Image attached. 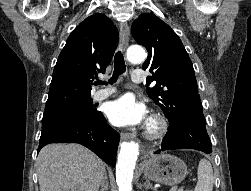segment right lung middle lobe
<instances>
[{
    "label": "right lung middle lobe",
    "mask_w": 251,
    "mask_h": 191,
    "mask_svg": "<svg viewBox=\"0 0 251 191\" xmlns=\"http://www.w3.org/2000/svg\"><path fill=\"white\" fill-rule=\"evenodd\" d=\"M92 98L45 108L42 118V128L50 124L69 119L85 118L94 120L101 116V112L94 109Z\"/></svg>",
    "instance_id": "obj_1"
}]
</instances>
